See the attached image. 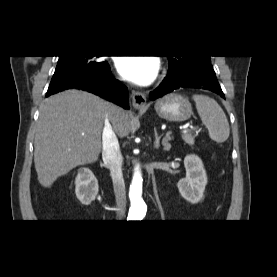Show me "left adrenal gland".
<instances>
[{
    "label": "left adrenal gland",
    "mask_w": 277,
    "mask_h": 277,
    "mask_svg": "<svg viewBox=\"0 0 277 277\" xmlns=\"http://www.w3.org/2000/svg\"><path fill=\"white\" fill-rule=\"evenodd\" d=\"M154 133H155V142H154V148L158 149L160 147V140L162 138L161 136H158L156 128L154 129ZM170 139V136L167 134L166 137L163 139L164 141L168 142V140ZM165 149H167V144L164 145Z\"/></svg>",
    "instance_id": "1"
}]
</instances>
